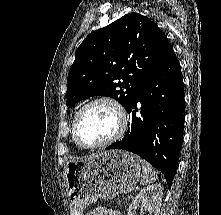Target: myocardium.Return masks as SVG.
<instances>
[{
	"mask_svg": "<svg viewBox=\"0 0 221 215\" xmlns=\"http://www.w3.org/2000/svg\"><path fill=\"white\" fill-rule=\"evenodd\" d=\"M96 103H108L111 106H113L119 118V125H118L116 132L107 140L100 142V143H96V144H88L81 139L79 132H78V124H79L80 117L82 113L84 112V110L87 109L89 106L96 104ZM127 127H128V117H127L125 109L120 104V102L110 96H99V97L90 99L78 109V111L76 112L74 116L73 123H72V135H73L74 141L79 147L84 148V149H97V148L106 147L116 142L117 140H119L124 135Z\"/></svg>",
	"mask_w": 221,
	"mask_h": 215,
	"instance_id": "f54148a6",
	"label": "myocardium"
}]
</instances>
